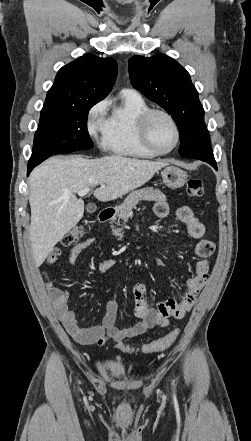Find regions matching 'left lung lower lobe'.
<instances>
[{
    "label": "left lung lower lobe",
    "instance_id": "left-lung-lower-lobe-1",
    "mask_svg": "<svg viewBox=\"0 0 251 441\" xmlns=\"http://www.w3.org/2000/svg\"><path fill=\"white\" fill-rule=\"evenodd\" d=\"M187 145L190 152L182 157L200 159L217 169L206 126L195 131L187 141Z\"/></svg>",
    "mask_w": 251,
    "mask_h": 441
}]
</instances>
